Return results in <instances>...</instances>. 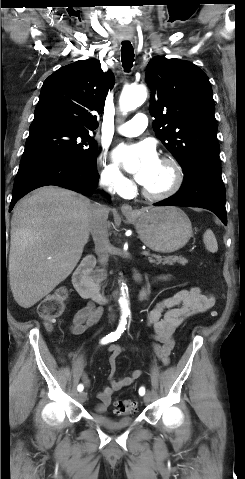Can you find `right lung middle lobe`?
Wrapping results in <instances>:
<instances>
[{
    "label": "right lung middle lobe",
    "mask_w": 245,
    "mask_h": 479,
    "mask_svg": "<svg viewBox=\"0 0 245 479\" xmlns=\"http://www.w3.org/2000/svg\"><path fill=\"white\" fill-rule=\"evenodd\" d=\"M98 147L89 130L64 125L30 127L20 164L41 158H66L96 168Z\"/></svg>",
    "instance_id": "obj_1"
}]
</instances>
